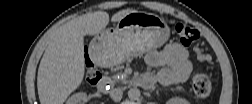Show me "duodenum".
Here are the masks:
<instances>
[{
    "label": "duodenum",
    "instance_id": "1",
    "mask_svg": "<svg viewBox=\"0 0 252 104\" xmlns=\"http://www.w3.org/2000/svg\"><path fill=\"white\" fill-rule=\"evenodd\" d=\"M139 84L143 87H150L152 85V79L144 76L139 79ZM109 85V80L107 78H102L99 80L97 87L99 91L106 93Z\"/></svg>",
    "mask_w": 252,
    "mask_h": 104
}]
</instances>
